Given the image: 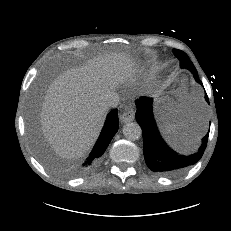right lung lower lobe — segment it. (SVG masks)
<instances>
[{"mask_svg": "<svg viewBox=\"0 0 231 231\" xmlns=\"http://www.w3.org/2000/svg\"><path fill=\"white\" fill-rule=\"evenodd\" d=\"M118 130V112L117 109L111 111L106 119L102 132L97 140L92 152L89 157L85 160L82 167L74 170V172L79 173L83 171H87L93 167H95L102 154L107 149L110 141Z\"/></svg>", "mask_w": 231, "mask_h": 231, "instance_id": "98d812e1", "label": "right lung lower lobe"}]
</instances>
